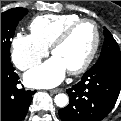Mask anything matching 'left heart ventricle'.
I'll use <instances>...</instances> for the list:
<instances>
[{"instance_id": "b2bd125f", "label": "left heart ventricle", "mask_w": 121, "mask_h": 121, "mask_svg": "<svg viewBox=\"0 0 121 121\" xmlns=\"http://www.w3.org/2000/svg\"><path fill=\"white\" fill-rule=\"evenodd\" d=\"M94 42V29L91 24H82L69 39L54 53L66 70L78 67L87 57Z\"/></svg>"}]
</instances>
